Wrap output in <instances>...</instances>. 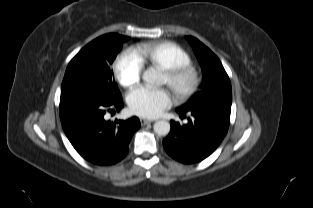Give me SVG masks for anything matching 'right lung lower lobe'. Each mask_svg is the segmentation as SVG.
Instances as JSON below:
<instances>
[{
	"label": "right lung lower lobe",
	"instance_id": "right-lung-lower-lobe-1",
	"mask_svg": "<svg viewBox=\"0 0 313 208\" xmlns=\"http://www.w3.org/2000/svg\"><path fill=\"white\" fill-rule=\"evenodd\" d=\"M122 97L106 98L94 88L81 83H62L60 119L63 130L75 150L87 161L97 165H111L128 153V144L140 121L132 117L126 121H106V111L121 109Z\"/></svg>",
	"mask_w": 313,
	"mask_h": 208
}]
</instances>
